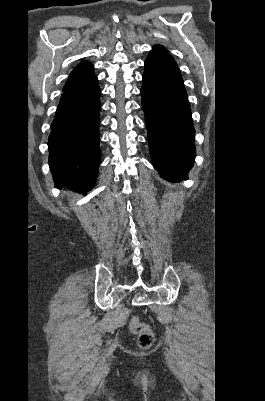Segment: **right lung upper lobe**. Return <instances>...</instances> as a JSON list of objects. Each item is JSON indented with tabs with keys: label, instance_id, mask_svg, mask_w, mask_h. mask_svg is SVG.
Returning <instances> with one entry per match:
<instances>
[{
	"label": "right lung upper lobe",
	"instance_id": "cb5924a9",
	"mask_svg": "<svg viewBox=\"0 0 265 401\" xmlns=\"http://www.w3.org/2000/svg\"><path fill=\"white\" fill-rule=\"evenodd\" d=\"M94 67L89 62L80 63L70 74L63 92L89 86L97 81V77L93 73Z\"/></svg>",
	"mask_w": 265,
	"mask_h": 401
}]
</instances>
